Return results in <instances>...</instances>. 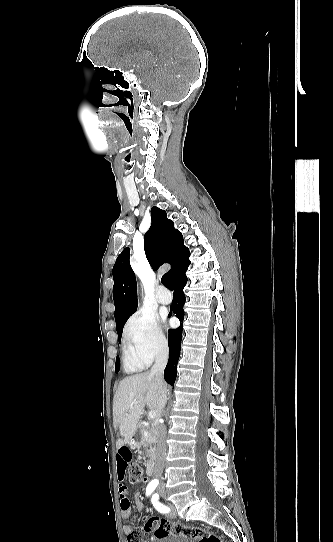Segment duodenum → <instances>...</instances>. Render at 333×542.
<instances>
[{
    "label": "duodenum",
    "mask_w": 333,
    "mask_h": 542,
    "mask_svg": "<svg viewBox=\"0 0 333 542\" xmlns=\"http://www.w3.org/2000/svg\"><path fill=\"white\" fill-rule=\"evenodd\" d=\"M130 444L132 447H138L140 445V440L136 437H133L130 440ZM153 471H154V460L150 459L146 465V473L148 476H151L153 474Z\"/></svg>",
    "instance_id": "duodenum-1"
}]
</instances>
